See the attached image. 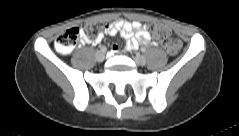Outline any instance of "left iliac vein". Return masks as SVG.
Returning a JSON list of instances; mask_svg holds the SVG:
<instances>
[{"label":"left iliac vein","mask_w":239,"mask_h":136,"mask_svg":"<svg viewBox=\"0 0 239 136\" xmlns=\"http://www.w3.org/2000/svg\"><path fill=\"white\" fill-rule=\"evenodd\" d=\"M134 61L137 65H144L146 63V59L144 56L137 54L134 57Z\"/></svg>","instance_id":"left-iliac-vein-1"}]
</instances>
